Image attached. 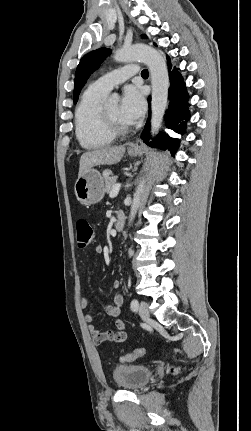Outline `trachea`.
Wrapping results in <instances>:
<instances>
[{
  "mask_svg": "<svg viewBox=\"0 0 251 431\" xmlns=\"http://www.w3.org/2000/svg\"><path fill=\"white\" fill-rule=\"evenodd\" d=\"M141 75H142V76L148 75V70H147V69H144V70L141 72Z\"/></svg>",
  "mask_w": 251,
  "mask_h": 431,
  "instance_id": "obj_1",
  "label": "trachea"
}]
</instances>
